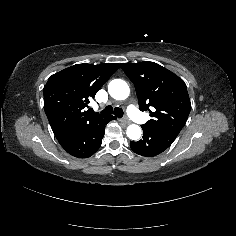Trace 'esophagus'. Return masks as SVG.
Instances as JSON below:
<instances>
[{
  "label": "esophagus",
  "mask_w": 236,
  "mask_h": 236,
  "mask_svg": "<svg viewBox=\"0 0 236 236\" xmlns=\"http://www.w3.org/2000/svg\"><path fill=\"white\" fill-rule=\"evenodd\" d=\"M120 121L126 124H130V121L128 120V118L120 119Z\"/></svg>",
  "instance_id": "obj_1"
}]
</instances>
